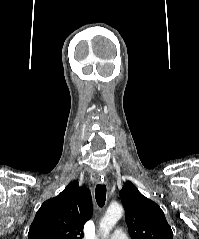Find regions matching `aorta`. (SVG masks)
I'll use <instances>...</instances> for the list:
<instances>
[{
	"label": "aorta",
	"instance_id": "obj_1",
	"mask_svg": "<svg viewBox=\"0 0 199 239\" xmlns=\"http://www.w3.org/2000/svg\"><path fill=\"white\" fill-rule=\"evenodd\" d=\"M123 215V208L119 204H112L108 207L104 217L100 221L99 230L102 236L107 238L115 226V224L120 220Z\"/></svg>",
	"mask_w": 199,
	"mask_h": 239
}]
</instances>
